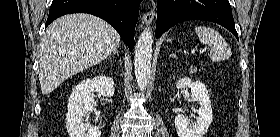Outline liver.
Segmentation results:
<instances>
[{
	"label": "liver",
	"instance_id": "liver-1",
	"mask_svg": "<svg viewBox=\"0 0 280 137\" xmlns=\"http://www.w3.org/2000/svg\"><path fill=\"white\" fill-rule=\"evenodd\" d=\"M120 36L106 21L77 13L55 20L40 46L39 80L44 95L72 75L100 63L119 47Z\"/></svg>",
	"mask_w": 280,
	"mask_h": 137
}]
</instances>
